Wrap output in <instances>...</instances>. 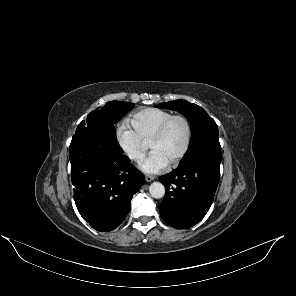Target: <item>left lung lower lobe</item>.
Returning <instances> with one entry per match:
<instances>
[{
    "label": "left lung lower lobe",
    "instance_id": "1",
    "mask_svg": "<svg viewBox=\"0 0 296 296\" xmlns=\"http://www.w3.org/2000/svg\"><path fill=\"white\" fill-rule=\"evenodd\" d=\"M221 151L209 152L181 164L159 177L166 188L159 206L165 222L175 228H189L208 212L220 177Z\"/></svg>",
    "mask_w": 296,
    "mask_h": 296
}]
</instances>
